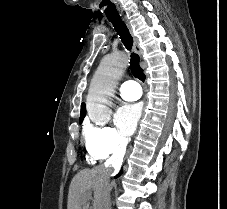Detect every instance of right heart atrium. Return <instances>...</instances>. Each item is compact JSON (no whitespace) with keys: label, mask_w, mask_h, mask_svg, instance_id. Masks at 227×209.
Masks as SVG:
<instances>
[{"label":"right heart atrium","mask_w":227,"mask_h":209,"mask_svg":"<svg viewBox=\"0 0 227 209\" xmlns=\"http://www.w3.org/2000/svg\"><path fill=\"white\" fill-rule=\"evenodd\" d=\"M87 150L100 160L122 155L129 138L112 126H86L84 131Z\"/></svg>","instance_id":"1"}]
</instances>
